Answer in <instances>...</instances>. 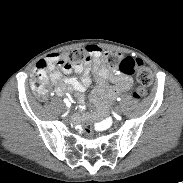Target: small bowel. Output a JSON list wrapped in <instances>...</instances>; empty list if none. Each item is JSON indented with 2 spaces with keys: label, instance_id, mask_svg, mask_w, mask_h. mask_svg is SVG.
I'll return each mask as SVG.
<instances>
[{
  "label": "small bowel",
  "instance_id": "c3829d8e",
  "mask_svg": "<svg viewBox=\"0 0 183 183\" xmlns=\"http://www.w3.org/2000/svg\"><path fill=\"white\" fill-rule=\"evenodd\" d=\"M91 62L96 76L98 86L92 93V99L98 100L100 96L104 95L106 100L112 99L117 94L126 92L132 87V79L126 74L111 75L107 68L102 65L101 57L102 50L97 45H88ZM60 55L52 54L47 57L48 70L50 71V79L57 86V91L63 93L64 91L75 92L79 107L84 109V96L83 93L88 89L91 84L90 78V65L75 66L74 70L81 74V78L71 76V68L65 69L57 67L55 64L58 62ZM65 75L64 84H59L62 76ZM115 124V119L112 116H107L105 119L98 121L95 128L98 130L112 127Z\"/></svg>",
  "mask_w": 183,
  "mask_h": 183
}]
</instances>
